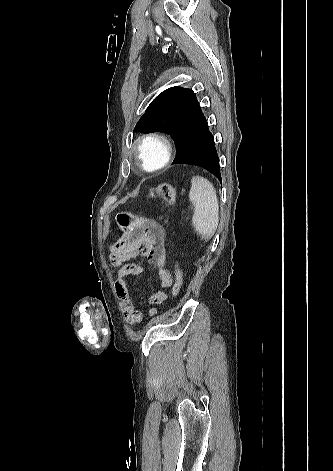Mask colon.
<instances>
[{
	"label": "colon",
	"instance_id": "colon-1",
	"mask_svg": "<svg viewBox=\"0 0 333 471\" xmlns=\"http://www.w3.org/2000/svg\"><path fill=\"white\" fill-rule=\"evenodd\" d=\"M160 197L168 205L174 206L176 203L177 195L175 188L168 183H161L149 189L147 193V198ZM175 280L172 287V294L174 297H177L180 294L182 284H183V273L180 266V258L177 256L175 258Z\"/></svg>",
	"mask_w": 333,
	"mask_h": 471
}]
</instances>
